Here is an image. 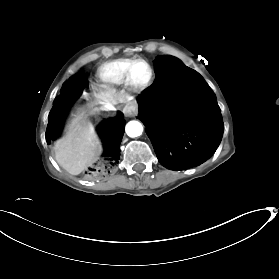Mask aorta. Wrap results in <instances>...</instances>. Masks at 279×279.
<instances>
[{
	"label": "aorta",
	"mask_w": 279,
	"mask_h": 279,
	"mask_svg": "<svg viewBox=\"0 0 279 279\" xmlns=\"http://www.w3.org/2000/svg\"><path fill=\"white\" fill-rule=\"evenodd\" d=\"M125 131L129 137H138L143 132V126L138 121H130L127 123Z\"/></svg>",
	"instance_id": "obj_1"
}]
</instances>
